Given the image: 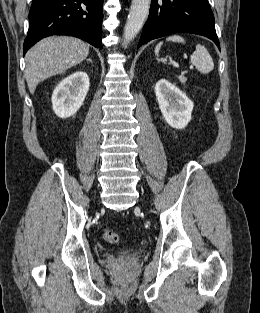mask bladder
<instances>
[{
    "label": "bladder",
    "mask_w": 260,
    "mask_h": 313,
    "mask_svg": "<svg viewBox=\"0 0 260 313\" xmlns=\"http://www.w3.org/2000/svg\"><path fill=\"white\" fill-rule=\"evenodd\" d=\"M136 252V249H130V250H127L124 252L125 255H129V254H132V253H135Z\"/></svg>",
    "instance_id": "31cf9c89"
}]
</instances>
